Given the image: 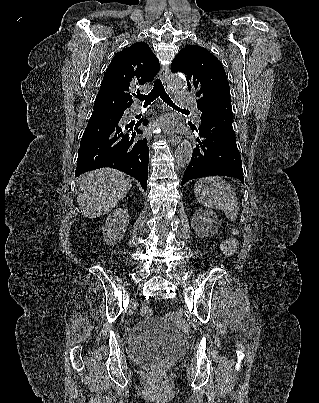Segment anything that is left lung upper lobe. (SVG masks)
I'll return each mask as SVG.
<instances>
[{"label": "left lung upper lobe", "mask_w": 319, "mask_h": 403, "mask_svg": "<svg viewBox=\"0 0 319 403\" xmlns=\"http://www.w3.org/2000/svg\"><path fill=\"white\" fill-rule=\"evenodd\" d=\"M173 72H183L188 89L198 97L197 108L202 114L214 110H229L231 95L222 63L207 49L189 45L183 48L171 64Z\"/></svg>", "instance_id": "5c2ea615"}]
</instances>
